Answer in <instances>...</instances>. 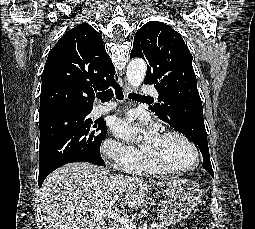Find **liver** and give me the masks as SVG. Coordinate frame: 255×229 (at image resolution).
Here are the masks:
<instances>
[{
    "label": "liver",
    "instance_id": "6515ba94",
    "mask_svg": "<svg viewBox=\"0 0 255 229\" xmlns=\"http://www.w3.org/2000/svg\"><path fill=\"white\" fill-rule=\"evenodd\" d=\"M148 187L141 178L113 176L106 168L87 162L69 163L42 184L40 207L49 229H108L107 216L95 211L111 206L115 211L132 212L143 204Z\"/></svg>",
    "mask_w": 255,
    "mask_h": 229
}]
</instances>
